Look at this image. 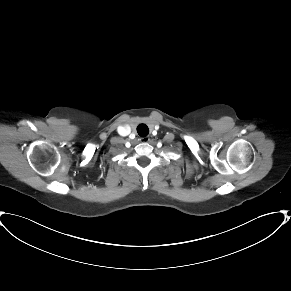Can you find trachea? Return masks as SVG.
Masks as SVG:
<instances>
[{"label":"trachea","mask_w":291,"mask_h":291,"mask_svg":"<svg viewBox=\"0 0 291 291\" xmlns=\"http://www.w3.org/2000/svg\"><path fill=\"white\" fill-rule=\"evenodd\" d=\"M137 132H138V134H139L140 136L145 137V136L148 135V133H149V129H148L147 125H145V124H140V125H138V127H137Z\"/></svg>","instance_id":"obj_1"}]
</instances>
